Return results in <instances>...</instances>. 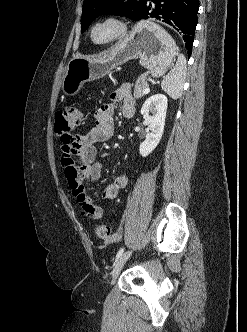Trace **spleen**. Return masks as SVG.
I'll return each mask as SVG.
<instances>
[{
	"mask_svg": "<svg viewBox=\"0 0 247 332\" xmlns=\"http://www.w3.org/2000/svg\"><path fill=\"white\" fill-rule=\"evenodd\" d=\"M185 78L186 58L183 54H179L175 66L161 82V88L172 99H178L182 95Z\"/></svg>",
	"mask_w": 247,
	"mask_h": 332,
	"instance_id": "spleen-1",
	"label": "spleen"
}]
</instances>
